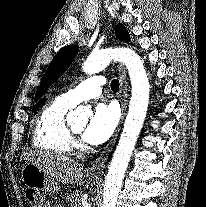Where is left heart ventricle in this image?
<instances>
[{"label":"left heart ventricle","mask_w":206,"mask_h":207,"mask_svg":"<svg viewBox=\"0 0 206 207\" xmlns=\"http://www.w3.org/2000/svg\"><path fill=\"white\" fill-rule=\"evenodd\" d=\"M85 128V125H82V126H74L73 129L78 132V133H81Z\"/></svg>","instance_id":"obj_1"}]
</instances>
